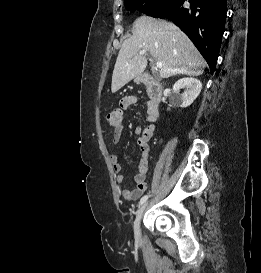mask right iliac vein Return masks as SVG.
I'll use <instances>...</instances> for the list:
<instances>
[{
  "label": "right iliac vein",
  "instance_id": "63e3f726",
  "mask_svg": "<svg viewBox=\"0 0 261 273\" xmlns=\"http://www.w3.org/2000/svg\"><path fill=\"white\" fill-rule=\"evenodd\" d=\"M147 206H148V202L144 203L137 211V214L133 223L134 234L136 237L140 236V222Z\"/></svg>",
  "mask_w": 261,
  "mask_h": 273
}]
</instances>
